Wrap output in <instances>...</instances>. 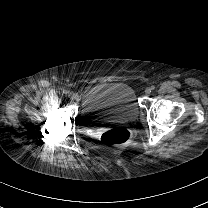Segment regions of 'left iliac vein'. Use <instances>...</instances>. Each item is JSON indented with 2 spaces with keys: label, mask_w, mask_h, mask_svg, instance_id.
<instances>
[{
  "label": "left iliac vein",
  "mask_w": 208,
  "mask_h": 208,
  "mask_svg": "<svg viewBox=\"0 0 208 208\" xmlns=\"http://www.w3.org/2000/svg\"><path fill=\"white\" fill-rule=\"evenodd\" d=\"M145 93H146L147 95H149V94L151 93V88H146V89H145Z\"/></svg>",
  "instance_id": "4c4485c4"
}]
</instances>
